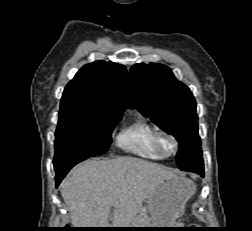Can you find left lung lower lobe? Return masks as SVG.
I'll return each mask as SVG.
<instances>
[{"mask_svg":"<svg viewBox=\"0 0 252 231\" xmlns=\"http://www.w3.org/2000/svg\"><path fill=\"white\" fill-rule=\"evenodd\" d=\"M185 171L197 172V173H199L202 177L204 176V168H203V166H201V167L186 168Z\"/></svg>","mask_w":252,"mask_h":231,"instance_id":"1","label":"left lung lower lobe"}]
</instances>
